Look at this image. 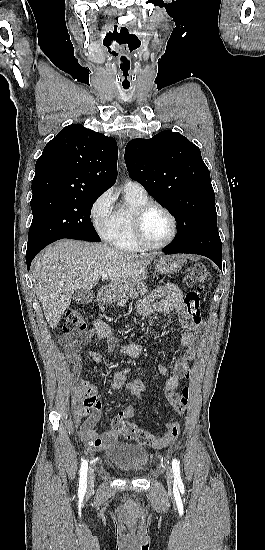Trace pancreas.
<instances>
[{"label":"pancreas","mask_w":265,"mask_h":550,"mask_svg":"<svg viewBox=\"0 0 265 550\" xmlns=\"http://www.w3.org/2000/svg\"><path fill=\"white\" fill-rule=\"evenodd\" d=\"M147 292H148L147 286L144 285L143 283H140V284L137 285L135 288L130 289V291H129V293L127 294V296L124 297V298H122V299L118 302L117 305H118L119 307H124L125 304L127 303L128 297L136 298V297H138L139 295H145Z\"/></svg>","instance_id":"obj_1"}]
</instances>
